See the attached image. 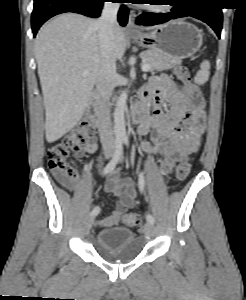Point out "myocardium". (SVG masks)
Returning <instances> with one entry per match:
<instances>
[{
	"label": "myocardium",
	"instance_id": "1",
	"mask_svg": "<svg viewBox=\"0 0 246 300\" xmlns=\"http://www.w3.org/2000/svg\"><path fill=\"white\" fill-rule=\"evenodd\" d=\"M164 5L165 6H163L161 8H156V9L148 7V10L157 11V12H166V11H168L171 8L170 4H164Z\"/></svg>",
	"mask_w": 246,
	"mask_h": 300
}]
</instances>
